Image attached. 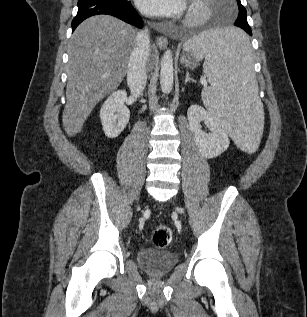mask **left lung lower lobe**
<instances>
[{"label":"left lung lower lobe","mask_w":307,"mask_h":317,"mask_svg":"<svg viewBox=\"0 0 307 317\" xmlns=\"http://www.w3.org/2000/svg\"><path fill=\"white\" fill-rule=\"evenodd\" d=\"M242 29L245 30L250 36L252 35L250 27H242ZM226 43L228 47H230L237 53H240L247 46L248 40L244 37L229 36L226 40Z\"/></svg>","instance_id":"obj_1"}]
</instances>
